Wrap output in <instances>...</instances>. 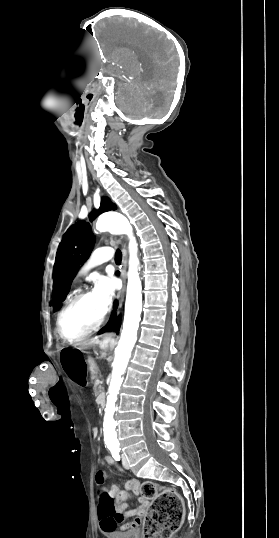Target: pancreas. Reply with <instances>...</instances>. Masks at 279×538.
Returning <instances> with one entry per match:
<instances>
[{
  "label": "pancreas",
  "mask_w": 279,
  "mask_h": 538,
  "mask_svg": "<svg viewBox=\"0 0 279 538\" xmlns=\"http://www.w3.org/2000/svg\"><path fill=\"white\" fill-rule=\"evenodd\" d=\"M94 388H95V396L100 397L103 391L101 380H96V384Z\"/></svg>",
  "instance_id": "cf45deb5"
}]
</instances>
